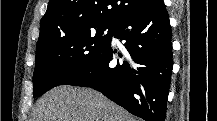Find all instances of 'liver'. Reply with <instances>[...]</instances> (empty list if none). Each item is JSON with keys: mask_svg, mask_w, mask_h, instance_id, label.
<instances>
[{"mask_svg": "<svg viewBox=\"0 0 217 121\" xmlns=\"http://www.w3.org/2000/svg\"><path fill=\"white\" fill-rule=\"evenodd\" d=\"M34 121H134L129 113L101 93L59 86L36 102Z\"/></svg>", "mask_w": 217, "mask_h": 121, "instance_id": "6515ba94", "label": "liver"}]
</instances>
